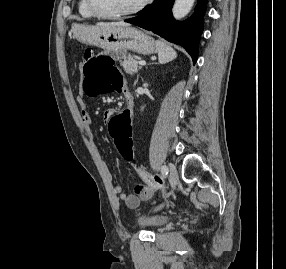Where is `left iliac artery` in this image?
Wrapping results in <instances>:
<instances>
[{"label":"left iliac artery","mask_w":286,"mask_h":269,"mask_svg":"<svg viewBox=\"0 0 286 269\" xmlns=\"http://www.w3.org/2000/svg\"><path fill=\"white\" fill-rule=\"evenodd\" d=\"M161 172L163 174V176H167L168 174V168L164 165L161 167Z\"/></svg>","instance_id":"obj_1"}]
</instances>
